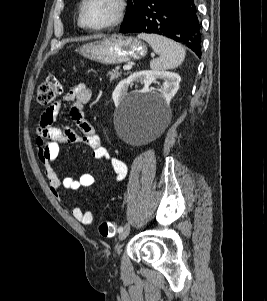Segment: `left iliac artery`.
I'll return each mask as SVG.
<instances>
[{
  "mask_svg": "<svg viewBox=\"0 0 267 301\" xmlns=\"http://www.w3.org/2000/svg\"><path fill=\"white\" fill-rule=\"evenodd\" d=\"M122 230H123V227L120 226V227L118 228V232L120 233Z\"/></svg>",
  "mask_w": 267,
  "mask_h": 301,
  "instance_id": "left-iliac-artery-1",
  "label": "left iliac artery"
}]
</instances>
